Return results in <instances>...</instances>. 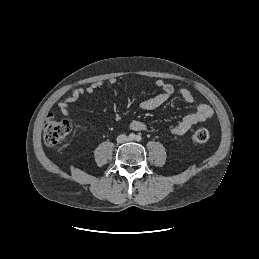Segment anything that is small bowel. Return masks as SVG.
Listing matches in <instances>:
<instances>
[{
    "label": "small bowel",
    "instance_id": "obj_1",
    "mask_svg": "<svg viewBox=\"0 0 259 259\" xmlns=\"http://www.w3.org/2000/svg\"><path fill=\"white\" fill-rule=\"evenodd\" d=\"M110 84H115L116 79L110 78L108 80ZM103 85L101 81L91 83L86 88H76L71 94L58 104L60 111L67 115L69 113V107L71 104L77 102L79 99L86 95H92L98 88ZM155 86L160 90V93L148 97L140 102V108L146 111H151L159 108L168 100L176 95V90L172 84H169L162 79L155 81ZM178 95L187 104H196V99L192 93L186 89L181 88L178 90ZM213 116V109L205 103L196 104L195 110L186 115L181 121L176 123L170 128V134L173 136H182L187 133L193 126L205 122ZM130 128L134 131H142L146 128L144 122L139 120H133L130 123Z\"/></svg>",
    "mask_w": 259,
    "mask_h": 259
}]
</instances>
